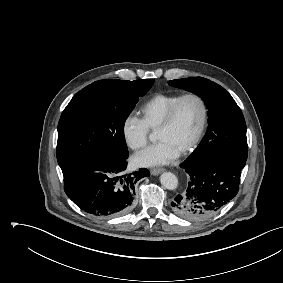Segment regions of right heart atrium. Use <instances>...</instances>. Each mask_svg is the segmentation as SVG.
Wrapping results in <instances>:
<instances>
[{
    "instance_id": "d8ad5b80",
    "label": "right heart atrium",
    "mask_w": 283,
    "mask_h": 283,
    "mask_svg": "<svg viewBox=\"0 0 283 283\" xmlns=\"http://www.w3.org/2000/svg\"><path fill=\"white\" fill-rule=\"evenodd\" d=\"M121 132L126 145L134 151L144 148L149 141V129L143 120L133 113L124 118Z\"/></svg>"
}]
</instances>
